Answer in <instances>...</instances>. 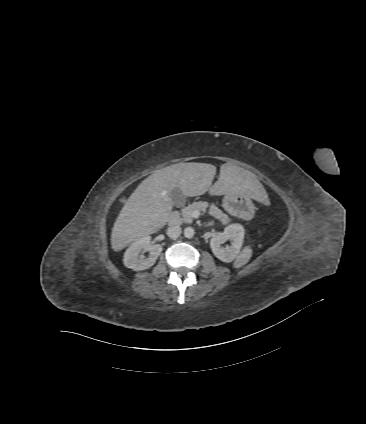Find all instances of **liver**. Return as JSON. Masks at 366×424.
<instances>
[{"mask_svg": "<svg viewBox=\"0 0 366 424\" xmlns=\"http://www.w3.org/2000/svg\"><path fill=\"white\" fill-rule=\"evenodd\" d=\"M216 167L206 163H178L154 171L143 180L124 204L111 233V247L118 252L141 237L156 233L170 218L171 191L179 188L186 197L242 195L261 200L265 192L255 175L231 163L222 164L212 185Z\"/></svg>", "mask_w": 366, "mask_h": 424, "instance_id": "6515ba94", "label": "liver"}]
</instances>
